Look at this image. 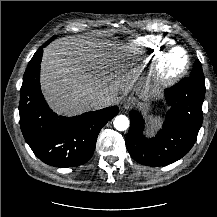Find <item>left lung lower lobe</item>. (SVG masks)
I'll list each match as a JSON object with an SVG mask.
<instances>
[{"label":"left lung lower lobe","instance_id":"left-lung-lower-lobe-1","mask_svg":"<svg viewBox=\"0 0 217 217\" xmlns=\"http://www.w3.org/2000/svg\"><path fill=\"white\" fill-rule=\"evenodd\" d=\"M171 106L163 128L153 138L143 136L144 120L137 111H130L131 125L125 143L138 163L165 166L185 156L194 145L202 125V103L205 86L186 77L165 91Z\"/></svg>","mask_w":217,"mask_h":217}]
</instances>
